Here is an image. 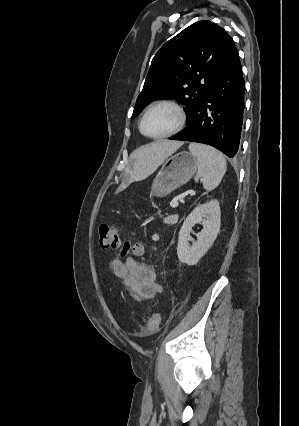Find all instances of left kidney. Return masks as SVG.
I'll return each instance as SVG.
<instances>
[{"label": "left kidney", "mask_w": 299, "mask_h": 426, "mask_svg": "<svg viewBox=\"0 0 299 426\" xmlns=\"http://www.w3.org/2000/svg\"><path fill=\"white\" fill-rule=\"evenodd\" d=\"M202 223L203 229L196 234L194 241L190 233L197 223ZM221 222V211L218 200H211L198 205L185 219L178 237L177 256L179 261L187 265H195L205 255L215 241ZM189 241H193L190 245Z\"/></svg>", "instance_id": "obj_1"}]
</instances>
